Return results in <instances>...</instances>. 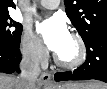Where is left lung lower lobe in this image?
<instances>
[{"label": "left lung lower lobe", "instance_id": "1", "mask_svg": "<svg viewBox=\"0 0 107 89\" xmlns=\"http://www.w3.org/2000/svg\"><path fill=\"white\" fill-rule=\"evenodd\" d=\"M85 45V63L73 72L56 73L55 81L96 79L107 83V31L97 33Z\"/></svg>", "mask_w": 107, "mask_h": 89}]
</instances>
